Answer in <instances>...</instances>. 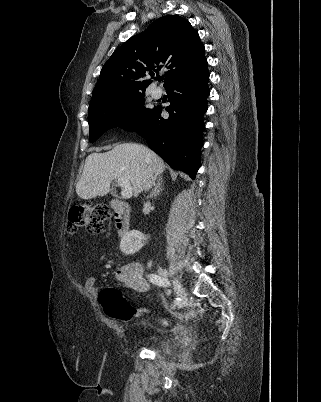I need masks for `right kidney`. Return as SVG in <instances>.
<instances>
[{
	"instance_id": "obj_1",
	"label": "right kidney",
	"mask_w": 321,
	"mask_h": 402,
	"mask_svg": "<svg viewBox=\"0 0 321 402\" xmlns=\"http://www.w3.org/2000/svg\"><path fill=\"white\" fill-rule=\"evenodd\" d=\"M145 237L138 230H132L125 234L120 242V249L125 255L138 252L144 245Z\"/></svg>"
}]
</instances>
